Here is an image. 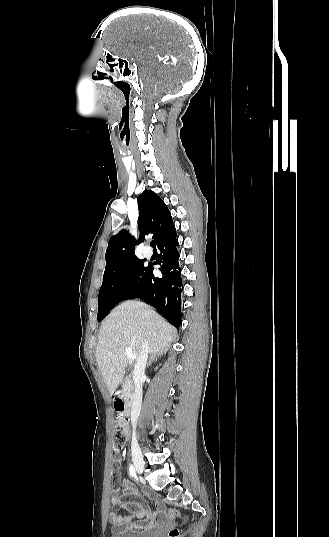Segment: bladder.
Returning a JSON list of instances; mask_svg holds the SVG:
<instances>
[{"label": "bladder", "mask_w": 329, "mask_h": 537, "mask_svg": "<svg viewBox=\"0 0 329 537\" xmlns=\"http://www.w3.org/2000/svg\"><path fill=\"white\" fill-rule=\"evenodd\" d=\"M110 537H155V532L153 531H142V532H112Z\"/></svg>", "instance_id": "bladder-1"}]
</instances>
